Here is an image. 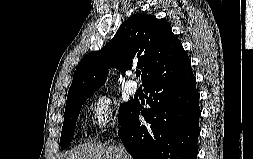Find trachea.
<instances>
[{
  "mask_svg": "<svg viewBox=\"0 0 253 159\" xmlns=\"http://www.w3.org/2000/svg\"><path fill=\"white\" fill-rule=\"evenodd\" d=\"M141 72L139 70L136 71V76L139 77Z\"/></svg>",
  "mask_w": 253,
  "mask_h": 159,
  "instance_id": "1",
  "label": "trachea"
}]
</instances>
